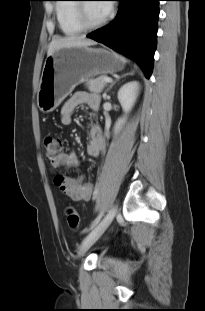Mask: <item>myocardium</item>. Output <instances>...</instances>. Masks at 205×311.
<instances>
[{"label": "myocardium", "instance_id": "f54148a6", "mask_svg": "<svg viewBox=\"0 0 205 311\" xmlns=\"http://www.w3.org/2000/svg\"><path fill=\"white\" fill-rule=\"evenodd\" d=\"M82 1V0H81ZM75 15L79 25L83 30L91 31L102 28L109 20V15H106L100 22L92 24L88 21L86 16V4L79 2L75 4Z\"/></svg>", "mask_w": 205, "mask_h": 311}]
</instances>
